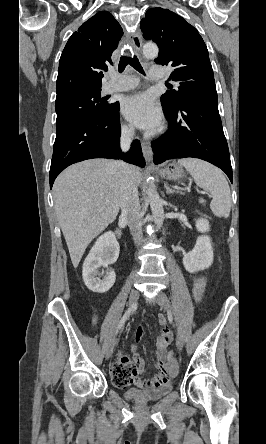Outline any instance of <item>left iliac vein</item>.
<instances>
[{"label": "left iliac vein", "instance_id": "obj_1", "mask_svg": "<svg viewBox=\"0 0 266 444\" xmlns=\"http://www.w3.org/2000/svg\"><path fill=\"white\" fill-rule=\"evenodd\" d=\"M155 301L166 312H168L169 314H172V306H171L170 300H169V298L167 297V295L164 292H162V291L158 292L157 296L155 297ZM183 345H184L183 337H182V335L180 333H178L177 334V338H176L177 349L179 351H181L182 348H183Z\"/></svg>", "mask_w": 266, "mask_h": 444}]
</instances>
